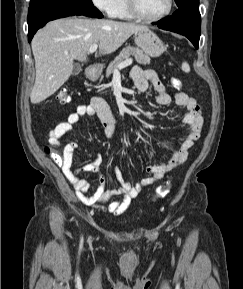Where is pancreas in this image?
Masks as SVG:
<instances>
[{
	"label": "pancreas",
	"instance_id": "1",
	"mask_svg": "<svg viewBox=\"0 0 243 289\" xmlns=\"http://www.w3.org/2000/svg\"><path fill=\"white\" fill-rule=\"evenodd\" d=\"M130 56H133L138 64H150V57L144 54L142 50L136 47L127 46L123 48L119 55L108 65L106 69V77L113 74L119 64L127 60Z\"/></svg>",
	"mask_w": 243,
	"mask_h": 289
}]
</instances>
